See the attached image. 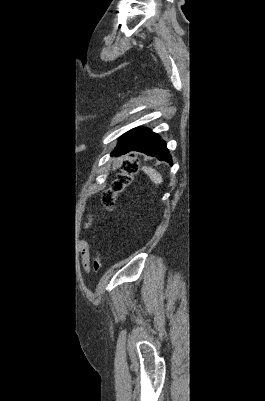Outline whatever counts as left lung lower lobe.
Segmentation results:
<instances>
[{
    "mask_svg": "<svg viewBox=\"0 0 265 401\" xmlns=\"http://www.w3.org/2000/svg\"><path fill=\"white\" fill-rule=\"evenodd\" d=\"M129 151H139L172 164L166 143L147 128H135L124 134L112 155L118 156Z\"/></svg>",
    "mask_w": 265,
    "mask_h": 401,
    "instance_id": "1",
    "label": "left lung lower lobe"
}]
</instances>
